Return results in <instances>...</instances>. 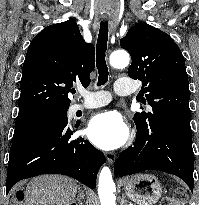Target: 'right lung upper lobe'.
Here are the masks:
<instances>
[{
  "label": "right lung upper lobe",
  "instance_id": "right-lung-upper-lobe-1",
  "mask_svg": "<svg viewBox=\"0 0 199 205\" xmlns=\"http://www.w3.org/2000/svg\"><path fill=\"white\" fill-rule=\"evenodd\" d=\"M95 50L74 19L44 28L28 47L20 82L18 115L70 106L75 82L90 84Z\"/></svg>",
  "mask_w": 199,
  "mask_h": 205
}]
</instances>
